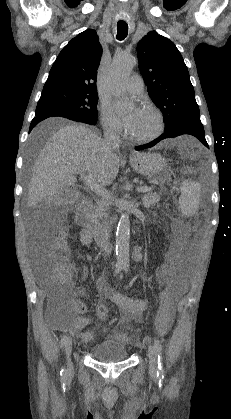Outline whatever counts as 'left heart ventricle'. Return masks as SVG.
Returning a JSON list of instances; mask_svg holds the SVG:
<instances>
[{
    "label": "left heart ventricle",
    "mask_w": 231,
    "mask_h": 419,
    "mask_svg": "<svg viewBox=\"0 0 231 419\" xmlns=\"http://www.w3.org/2000/svg\"><path fill=\"white\" fill-rule=\"evenodd\" d=\"M156 128L157 122L154 115L149 111L143 110L130 133L135 136H146L153 133Z\"/></svg>",
    "instance_id": "obj_1"
}]
</instances>
